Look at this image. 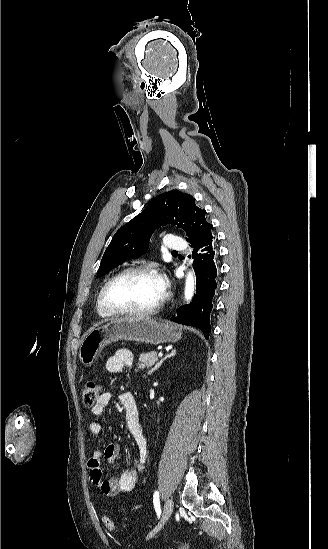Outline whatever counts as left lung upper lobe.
Masks as SVG:
<instances>
[{"label": "left lung upper lobe", "mask_w": 328, "mask_h": 549, "mask_svg": "<svg viewBox=\"0 0 328 549\" xmlns=\"http://www.w3.org/2000/svg\"><path fill=\"white\" fill-rule=\"evenodd\" d=\"M205 214L206 211L196 206L191 195L178 190L155 197L139 215L114 234L102 257L97 277L146 252L151 234L161 226L181 227L192 246L212 236V224L207 222Z\"/></svg>", "instance_id": "5c2ea615"}]
</instances>
